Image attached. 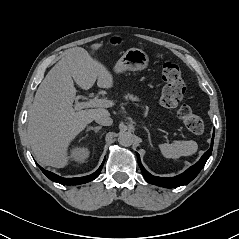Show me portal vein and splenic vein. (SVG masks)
Wrapping results in <instances>:
<instances>
[{"label":"portal vein and splenic vein","instance_id":"18ae733b","mask_svg":"<svg viewBox=\"0 0 239 239\" xmlns=\"http://www.w3.org/2000/svg\"><path fill=\"white\" fill-rule=\"evenodd\" d=\"M113 106V102L111 100H107V99H98V98H93L90 99L87 102H81V103H77L75 104V110H81L84 108H90V107H112Z\"/></svg>","mask_w":239,"mask_h":239}]
</instances>
